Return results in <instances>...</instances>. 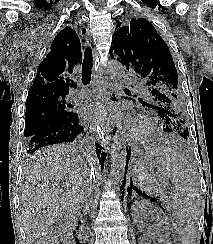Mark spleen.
Returning a JSON list of instances; mask_svg holds the SVG:
<instances>
[{
  "instance_id": "spleen-1",
  "label": "spleen",
  "mask_w": 213,
  "mask_h": 244,
  "mask_svg": "<svg viewBox=\"0 0 213 244\" xmlns=\"http://www.w3.org/2000/svg\"><path fill=\"white\" fill-rule=\"evenodd\" d=\"M157 169L173 185L174 228L181 244H194L201 217L198 179L191 165L169 149H157Z\"/></svg>"
}]
</instances>
